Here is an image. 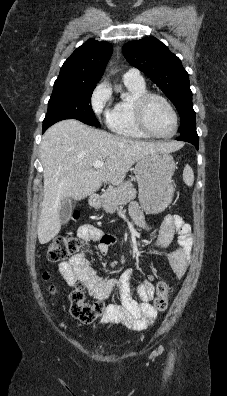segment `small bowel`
Here are the masks:
<instances>
[{
  "instance_id": "small-bowel-1",
  "label": "small bowel",
  "mask_w": 227,
  "mask_h": 396,
  "mask_svg": "<svg viewBox=\"0 0 227 396\" xmlns=\"http://www.w3.org/2000/svg\"><path fill=\"white\" fill-rule=\"evenodd\" d=\"M130 214L137 225L148 228L137 203L131 204ZM78 236L84 241H98L97 248L100 255L107 254L114 242L111 235H103L99 229L91 225L80 227ZM151 246L171 247L168 262L174 275L181 278L185 274L191 260L193 236L190 226L179 215L165 216ZM59 271L69 286L82 282L88 294L96 300H102L112 292H116L119 303L106 306L105 313L100 318L101 324L119 323L133 330L142 331L157 317V311L151 304L155 295L153 283L148 280L134 282L132 270L124 272L118 281L101 278L89 267L84 254L78 253L68 261L60 263ZM133 287L135 297L132 294Z\"/></svg>"
}]
</instances>
